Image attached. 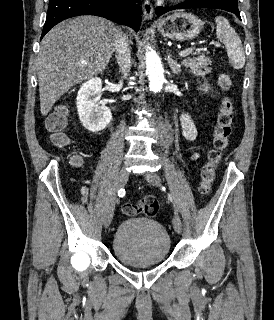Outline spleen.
Returning a JSON list of instances; mask_svg holds the SVG:
<instances>
[{"mask_svg": "<svg viewBox=\"0 0 274 320\" xmlns=\"http://www.w3.org/2000/svg\"><path fill=\"white\" fill-rule=\"evenodd\" d=\"M215 22L217 38L219 42H223L232 68L241 70L245 66V54L239 36L226 18L217 16Z\"/></svg>", "mask_w": 274, "mask_h": 320, "instance_id": "1", "label": "spleen"}]
</instances>
